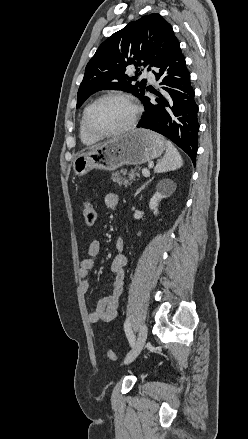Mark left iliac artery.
<instances>
[{
	"label": "left iliac artery",
	"instance_id": "left-iliac-artery-1",
	"mask_svg": "<svg viewBox=\"0 0 248 439\" xmlns=\"http://www.w3.org/2000/svg\"><path fill=\"white\" fill-rule=\"evenodd\" d=\"M124 330H125V333H126V336L128 338L130 345L133 346L135 343V335L133 334V331L131 329L129 319H126V321L124 323Z\"/></svg>",
	"mask_w": 248,
	"mask_h": 439
}]
</instances>
